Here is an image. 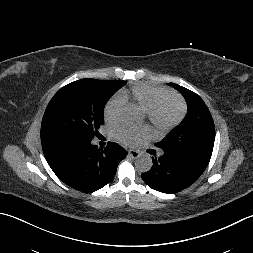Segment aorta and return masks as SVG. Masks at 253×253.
Listing matches in <instances>:
<instances>
[{
    "mask_svg": "<svg viewBox=\"0 0 253 253\" xmlns=\"http://www.w3.org/2000/svg\"><path fill=\"white\" fill-rule=\"evenodd\" d=\"M122 118L128 124H136L142 119V111L135 104H128L123 108ZM152 159L148 154H141L135 162L138 171L145 173L152 168Z\"/></svg>",
    "mask_w": 253,
    "mask_h": 253,
    "instance_id": "1",
    "label": "aorta"
}]
</instances>
